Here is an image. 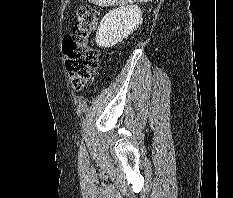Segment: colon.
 Segmentation results:
<instances>
[{
    "mask_svg": "<svg viewBox=\"0 0 233 198\" xmlns=\"http://www.w3.org/2000/svg\"><path fill=\"white\" fill-rule=\"evenodd\" d=\"M97 22L98 11L87 3L79 4L73 33L63 41L66 67L75 90L88 85L98 67V51L91 43Z\"/></svg>",
    "mask_w": 233,
    "mask_h": 198,
    "instance_id": "obj_1",
    "label": "colon"
}]
</instances>
